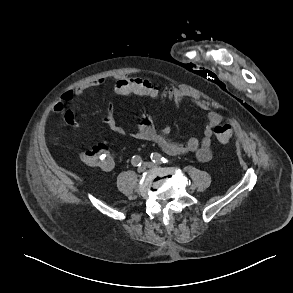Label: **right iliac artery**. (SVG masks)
<instances>
[{
    "label": "right iliac artery",
    "instance_id": "right-iliac-artery-1",
    "mask_svg": "<svg viewBox=\"0 0 293 293\" xmlns=\"http://www.w3.org/2000/svg\"><path fill=\"white\" fill-rule=\"evenodd\" d=\"M131 163L133 166H141L142 164V159L140 156L135 155L132 157Z\"/></svg>",
    "mask_w": 293,
    "mask_h": 293
}]
</instances>
